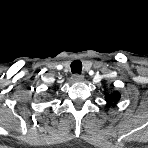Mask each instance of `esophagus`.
<instances>
[{
    "instance_id": "esophagus-1",
    "label": "esophagus",
    "mask_w": 148,
    "mask_h": 148,
    "mask_svg": "<svg viewBox=\"0 0 148 148\" xmlns=\"http://www.w3.org/2000/svg\"><path fill=\"white\" fill-rule=\"evenodd\" d=\"M72 80L74 82H82L84 80V76L83 75H79V74H74L72 76Z\"/></svg>"
}]
</instances>
